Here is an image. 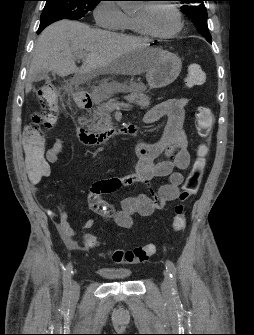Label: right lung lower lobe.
Segmentation results:
<instances>
[{"label":"right lung lower lobe","instance_id":"1","mask_svg":"<svg viewBox=\"0 0 254 335\" xmlns=\"http://www.w3.org/2000/svg\"><path fill=\"white\" fill-rule=\"evenodd\" d=\"M58 20H61V19H49V20H45V21H41L40 23V26H39V29L37 31V34H40L41 31L47 27L48 25L52 24L53 22H56Z\"/></svg>","mask_w":254,"mask_h":335}]
</instances>
